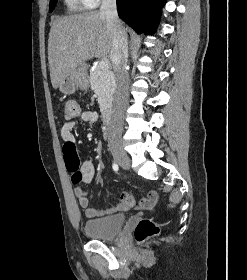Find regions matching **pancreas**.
Here are the masks:
<instances>
[{
	"label": "pancreas",
	"mask_w": 247,
	"mask_h": 280,
	"mask_svg": "<svg viewBox=\"0 0 247 280\" xmlns=\"http://www.w3.org/2000/svg\"><path fill=\"white\" fill-rule=\"evenodd\" d=\"M91 89L98 97L101 110L106 109L112 102L115 90V79L111 70L101 69L99 66L90 71Z\"/></svg>",
	"instance_id": "obj_1"
}]
</instances>
